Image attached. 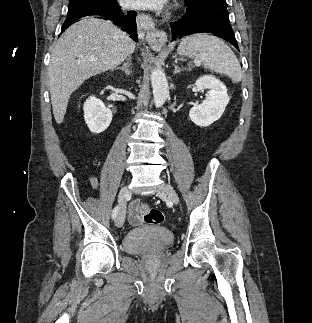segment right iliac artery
I'll return each instance as SVG.
<instances>
[{"mask_svg":"<svg viewBox=\"0 0 312 323\" xmlns=\"http://www.w3.org/2000/svg\"><path fill=\"white\" fill-rule=\"evenodd\" d=\"M118 211H119V206H116V207L114 208V210H113V213H112V218H113V219L117 216Z\"/></svg>","mask_w":312,"mask_h":323,"instance_id":"right-iliac-artery-1","label":"right iliac artery"}]
</instances>
